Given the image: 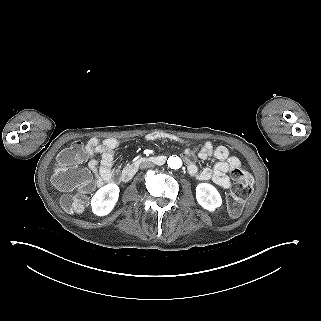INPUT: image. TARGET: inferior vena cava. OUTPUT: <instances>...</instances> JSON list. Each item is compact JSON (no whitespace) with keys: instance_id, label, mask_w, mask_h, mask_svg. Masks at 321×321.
Here are the masks:
<instances>
[{"instance_id":"602c4592","label":"inferior vena cava","mask_w":321,"mask_h":321,"mask_svg":"<svg viewBox=\"0 0 321 321\" xmlns=\"http://www.w3.org/2000/svg\"><path fill=\"white\" fill-rule=\"evenodd\" d=\"M140 169L143 170V169H148V168H154L155 167V164L152 163L151 161H143L140 163Z\"/></svg>"}]
</instances>
